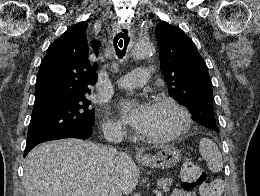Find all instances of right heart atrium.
Returning a JSON list of instances; mask_svg holds the SVG:
<instances>
[{"mask_svg":"<svg viewBox=\"0 0 260 196\" xmlns=\"http://www.w3.org/2000/svg\"><path fill=\"white\" fill-rule=\"evenodd\" d=\"M103 128L107 129V130L122 129V125L118 120H116L110 116H106L105 120L103 122Z\"/></svg>","mask_w":260,"mask_h":196,"instance_id":"d8ad5b80","label":"right heart atrium"}]
</instances>
